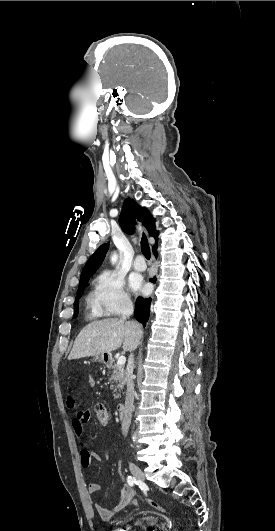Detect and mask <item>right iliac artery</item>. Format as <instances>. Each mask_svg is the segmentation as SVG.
Returning a JSON list of instances; mask_svg holds the SVG:
<instances>
[{
    "mask_svg": "<svg viewBox=\"0 0 275 531\" xmlns=\"http://www.w3.org/2000/svg\"><path fill=\"white\" fill-rule=\"evenodd\" d=\"M127 482H128V484H129L130 486H133L134 483H135L136 481H135V478H134V477H132V476H128V478H127Z\"/></svg>",
    "mask_w": 275,
    "mask_h": 531,
    "instance_id": "obj_1",
    "label": "right iliac artery"
}]
</instances>
